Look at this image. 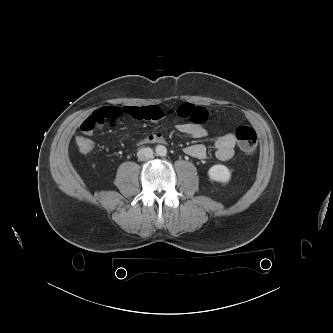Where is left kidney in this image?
Listing matches in <instances>:
<instances>
[{
	"label": "left kidney",
	"mask_w": 333,
	"mask_h": 333,
	"mask_svg": "<svg viewBox=\"0 0 333 333\" xmlns=\"http://www.w3.org/2000/svg\"><path fill=\"white\" fill-rule=\"evenodd\" d=\"M208 175L211 180L223 182V183L228 182L231 178V173H230L229 169L226 166L221 165V164L213 165L208 170Z\"/></svg>",
	"instance_id": "left-kidney-1"
}]
</instances>
